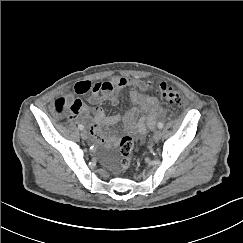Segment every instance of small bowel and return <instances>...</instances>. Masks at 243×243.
Wrapping results in <instances>:
<instances>
[{
	"instance_id": "small-bowel-1",
	"label": "small bowel",
	"mask_w": 243,
	"mask_h": 243,
	"mask_svg": "<svg viewBox=\"0 0 243 243\" xmlns=\"http://www.w3.org/2000/svg\"><path fill=\"white\" fill-rule=\"evenodd\" d=\"M127 87L130 88L133 107L123 113L106 116L100 104L109 101L112 105H117L120 91ZM148 90L149 83L140 78L115 76L96 83L79 81L74 86V92L79 95L89 94L88 102L92 108H88L80 98L74 95H61L54 104L63 103L65 108H69L71 120L84 122L90 120L89 133L96 136L104 146L113 147L118 140L113 128L118 123H122L127 134L139 139L146 134L148 129L155 126L158 118L167 113L155 97L145 93Z\"/></svg>"
}]
</instances>
